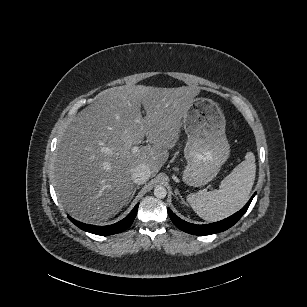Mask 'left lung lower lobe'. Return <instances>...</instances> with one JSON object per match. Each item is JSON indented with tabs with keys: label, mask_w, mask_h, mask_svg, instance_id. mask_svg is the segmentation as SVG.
<instances>
[{
	"label": "left lung lower lobe",
	"mask_w": 307,
	"mask_h": 307,
	"mask_svg": "<svg viewBox=\"0 0 307 307\" xmlns=\"http://www.w3.org/2000/svg\"><path fill=\"white\" fill-rule=\"evenodd\" d=\"M254 196L255 194L251 197L248 203L237 213L233 214L232 216L222 221L211 223V224L196 225V224L185 222L184 220L177 217L170 209H168V214L172 222L184 232H187L193 235L214 234V233L225 231L226 229L233 226L246 212Z\"/></svg>",
	"instance_id": "left-lung-lower-lobe-1"
}]
</instances>
